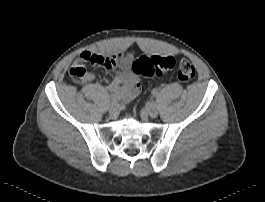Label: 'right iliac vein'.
Returning <instances> with one entry per match:
<instances>
[{"label": "right iliac vein", "instance_id": "right-iliac-vein-1", "mask_svg": "<svg viewBox=\"0 0 265 202\" xmlns=\"http://www.w3.org/2000/svg\"><path fill=\"white\" fill-rule=\"evenodd\" d=\"M118 111H119V107H118V105L116 103L115 104H111L109 106V114H110V116L115 117L118 114Z\"/></svg>", "mask_w": 265, "mask_h": 202}]
</instances>
